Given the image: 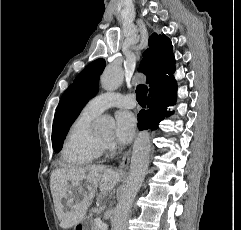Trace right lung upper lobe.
I'll return each instance as SVG.
<instances>
[{"instance_id": "right-lung-upper-lobe-1", "label": "right lung upper lobe", "mask_w": 241, "mask_h": 230, "mask_svg": "<svg viewBox=\"0 0 241 230\" xmlns=\"http://www.w3.org/2000/svg\"><path fill=\"white\" fill-rule=\"evenodd\" d=\"M149 46L143 53L139 71L147 76L146 83L151 88L175 70V59L172 43L164 34H153L149 38Z\"/></svg>"}]
</instances>
